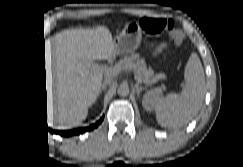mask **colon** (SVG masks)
I'll return each instance as SVG.
<instances>
[{"label":"colon","mask_w":243,"mask_h":167,"mask_svg":"<svg viewBox=\"0 0 243 167\" xmlns=\"http://www.w3.org/2000/svg\"><path fill=\"white\" fill-rule=\"evenodd\" d=\"M140 26L150 35L166 34L176 45H181L184 41V34L175 28V23L169 18L144 17L140 20Z\"/></svg>","instance_id":"colon-1"}]
</instances>
